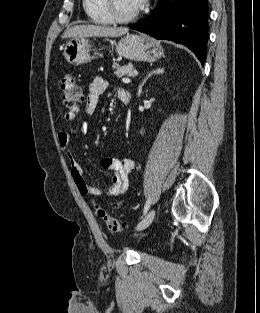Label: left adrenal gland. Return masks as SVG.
Returning <instances> with one entry per match:
<instances>
[{
  "instance_id": "a2214340",
  "label": "left adrenal gland",
  "mask_w": 260,
  "mask_h": 313,
  "mask_svg": "<svg viewBox=\"0 0 260 313\" xmlns=\"http://www.w3.org/2000/svg\"><path fill=\"white\" fill-rule=\"evenodd\" d=\"M164 72V68H159V69H156V70H153L151 73H149L145 79L142 81V83L139 85L138 87V96L141 95L142 93V88L144 86V84L146 83V81L152 76V75H155V74H161Z\"/></svg>"
}]
</instances>
